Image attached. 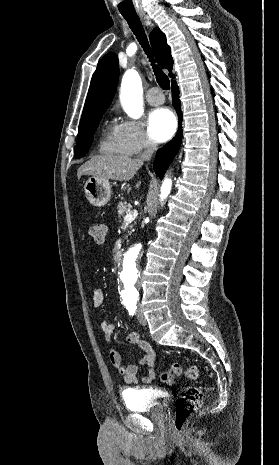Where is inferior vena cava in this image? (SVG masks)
Instances as JSON below:
<instances>
[{
	"mask_svg": "<svg viewBox=\"0 0 279 465\" xmlns=\"http://www.w3.org/2000/svg\"><path fill=\"white\" fill-rule=\"evenodd\" d=\"M156 149H157V144L152 140H148L146 142L143 153L140 155L139 160L141 162L150 160L152 157V154L154 153V151H156Z\"/></svg>",
	"mask_w": 279,
	"mask_h": 465,
	"instance_id": "602c4592",
	"label": "inferior vena cava"
}]
</instances>
